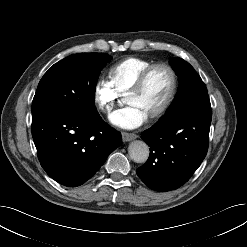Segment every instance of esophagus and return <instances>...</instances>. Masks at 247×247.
<instances>
[{"mask_svg":"<svg viewBox=\"0 0 247 247\" xmlns=\"http://www.w3.org/2000/svg\"><path fill=\"white\" fill-rule=\"evenodd\" d=\"M121 135H122L123 141H126V142L132 141L137 138V135L134 133L122 132Z\"/></svg>","mask_w":247,"mask_h":247,"instance_id":"1","label":"esophagus"}]
</instances>
